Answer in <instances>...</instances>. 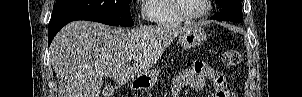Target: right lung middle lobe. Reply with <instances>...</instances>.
Returning <instances> with one entry per match:
<instances>
[{
	"instance_id": "1",
	"label": "right lung middle lobe",
	"mask_w": 302,
	"mask_h": 97,
	"mask_svg": "<svg viewBox=\"0 0 302 97\" xmlns=\"http://www.w3.org/2000/svg\"><path fill=\"white\" fill-rule=\"evenodd\" d=\"M132 0H57L50 23L76 17L96 16L121 26H133L129 4Z\"/></svg>"
}]
</instances>
